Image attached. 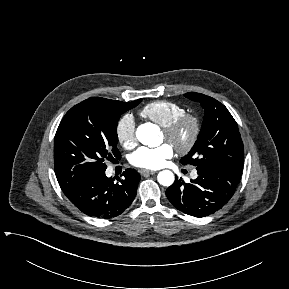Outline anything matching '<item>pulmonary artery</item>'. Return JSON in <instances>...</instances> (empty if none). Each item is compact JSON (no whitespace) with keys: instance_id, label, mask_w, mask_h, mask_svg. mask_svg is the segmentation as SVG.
Listing matches in <instances>:
<instances>
[{"instance_id":"1","label":"pulmonary artery","mask_w":289,"mask_h":289,"mask_svg":"<svg viewBox=\"0 0 289 289\" xmlns=\"http://www.w3.org/2000/svg\"><path fill=\"white\" fill-rule=\"evenodd\" d=\"M191 176H192L193 178H196V177H197V172H196V171H193V172L191 173Z\"/></svg>"}]
</instances>
